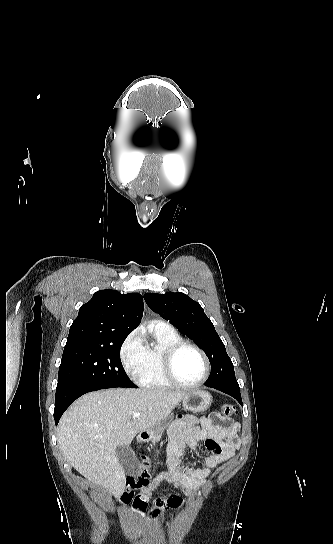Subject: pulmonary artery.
<instances>
[{"instance_id": "pulmonary-artery-1", "label": "pulmonary artery", "mask_w": 333, "mask_h": 544, "mask_svg": "<svg viewBox=\"0 0 333 544\" xmlns=\"http://www.w3.org/2000/svg\"><path fill=\"white\" fill-rule=\"evenodd\" d=\"M154 325L158 326V327H162V328H171V326L165 322H162V321H154L153 322Z\"/></svg>"}]
</instances>
